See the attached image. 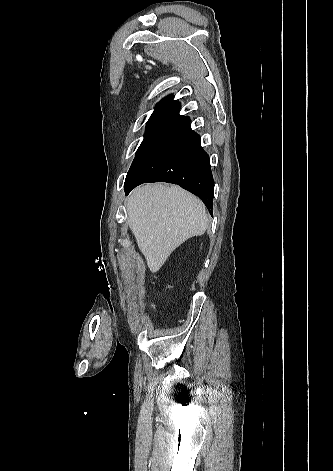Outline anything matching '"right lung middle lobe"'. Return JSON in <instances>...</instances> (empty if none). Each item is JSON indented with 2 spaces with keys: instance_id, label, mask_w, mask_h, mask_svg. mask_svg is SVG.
<instances>
[{
  "instance_id": "obj_1",
  "label": "right lung middle lobe",
  "mask_w": 333,
  "mask_h": 471,
  "mask_svg": "<svg viewBox=\"0 0 333 471\" xmlns=\"http://www.w3.org/2000/svg\"><path fill=\"white\" fill-rule=\"evenodd\" d=\"M175 123L176 121L174 120L150 118L147 122L144 139L136 152V157L134 158L133 162L160 134H162Z\"/></svg>"
}]
</instances>
